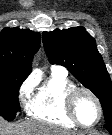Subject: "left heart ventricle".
<instances>
[{
	"label": "left heart ventricle",
	"mask_w": 112,
	"mask_h": 135,
	"mask_svg": "<svg viewBox=\"0 0 112 135\" xmlns=\"http://www.w3.org/2000/svg\"><path fill=\"white\" fill-rule=\"evenodd\" d=\"M75 110L80 121L86 125L93 124L98 117V109L94 100L84 92L77 94Z\"/></svg>",
	"instance_id": "obj_1"
}]
</instances>
